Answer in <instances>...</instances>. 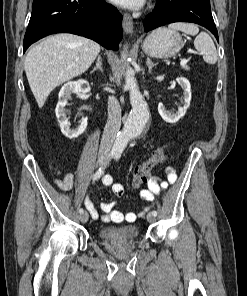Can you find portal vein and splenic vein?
<instances>
[{
    "mask_svg": "<svg viewBox=\"0 0 247 296\" xmlns=\"http://www.w3.org/2000/svg\"><path fill=\"white\" fill-rule=\"evenodd\" d=\"M195 53H197V52H195ZM186 64H187V59L186 58L181 59L180 65L185 66Z\"/></svg>",
    "mask_w": 247,
    "mask_h": 296,
    "instance_id": "1",
    "label": "portal vein and splenic vein"
}]
</instances>
